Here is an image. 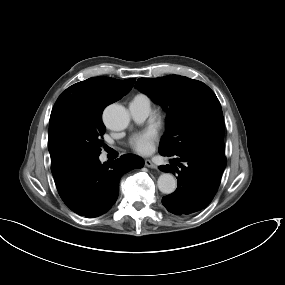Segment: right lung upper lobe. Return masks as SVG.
Returning a JSON list of instances; mask_svg holds the SVG:
<instances>
[{
  "label": "right lung upper lobe",
  "mask_w": 285,
  "mask_h": 285,
  "mask_svg": "<svg viewBox=\"0 0 285 285\" xmlns=\"http://www.w3.org/2000/svg\"><path fill=\"white\" fill-rule=\"evenodd\" d=\"M135 79L117 80L109 77H93L67 88L62 95L89 98L105 107L126 95L133 87Z\"/></svg>",
  "instance_id": "right-lung-upper-lobe-1"
}]
</instances>
